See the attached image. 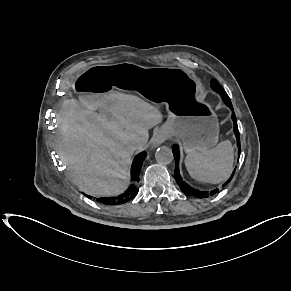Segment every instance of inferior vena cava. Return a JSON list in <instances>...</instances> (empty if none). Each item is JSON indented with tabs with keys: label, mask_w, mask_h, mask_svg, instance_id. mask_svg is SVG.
<instances>
[{
	"label": "inferior vena cava",
	"mask_w": 291,
	"mask_h": 291,
	"mask_svg": "<svg viewBox=\"0 0 291 291\" xmlns=\"http://www.w3.org/2000/svg\"><path fill=\"white\" fill-rule=\"evenodd\" d=\"M139 148H140V145L138 143H132L130 145V149L133 150V151H135V150H137Z\"/></svg>",
	"instance_id": "1"
}]
</instances>
